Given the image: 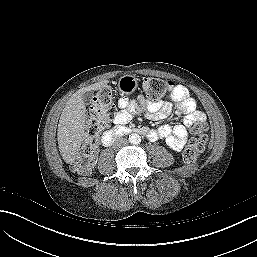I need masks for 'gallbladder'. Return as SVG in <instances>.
<instances>
[{"label":"gallbladder","instance_id":"bac80fb5","mask_svg":"<svg viewBox=\"0 0 257 257\" xmlns=\"http://www.w3.org/2000/svg\"><path fill=\"white\" fill-rule=\"evenodd\" d=\"M93 93L91 91H87L82 95V99L86 105H89L92 101Z\"/></svg>","mask_w":257,"mask_h":257}]
</instances>
